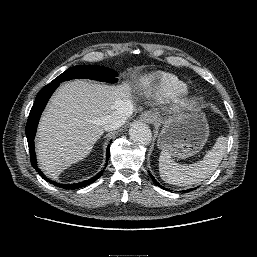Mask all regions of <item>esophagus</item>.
<instances>
[{"label": "esophagus", "instance_id": "34e87169", "mask_svg": "<svg viewBox=\"0 0 257 257\" xmlns=\"http://www.w3.org/2000/svg\"><path fill=\"white\" fill-rule=\"evenodd\" d=\"M140 119L145 123H152L155 119V116L151 112H144L141 114Z\"/></svg>", "mask_w": 257, "mask_h": 257}]
</instances>
